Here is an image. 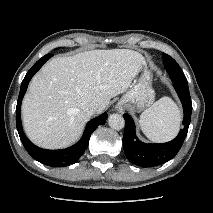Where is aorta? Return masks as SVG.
I'll return each instance as SVG.
<instances>
[{"label": "aorta", "mask_w": 213, "mask_h": 213, "mask_svg": "<svg viewBox=\"0 0 213 213\" xmlns=\"http://www.w3.org/2000/svg\"><path fill=\"white\" fill-rule=\"evenodd\" d=\"M108 124L115 130H121L125 126V120L120 114H112L108 118Z\"/></svg>", "instance_id": "762f6f07"}]
</instances>
